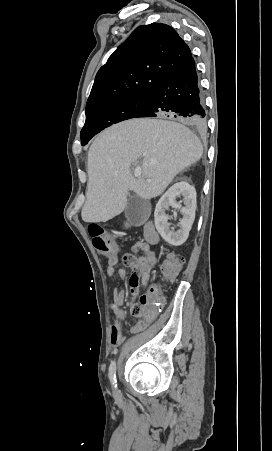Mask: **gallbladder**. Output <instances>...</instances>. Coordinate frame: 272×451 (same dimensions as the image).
Returning <instances> with one entry per match:
<instances>
[{"instance_id":"gallbladder-1","label":"gallbladder","mask_w":272,"mask_h":451,"mask_svg":"<svg viewBox=\"0 0 272 451\" xmlns=\"http://www.w3.org/2000/svg\"><path fill=\"white\" fill-rule=\"evenodd\" d=\"M149 206L148 200H143V198L134 194V196H130L127 202L124 210L125 218L133 226H141L149 218Z\"/></svg>"}]
</instances>
